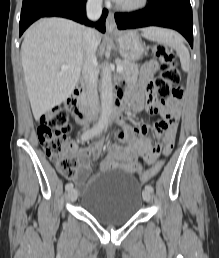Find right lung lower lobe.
<instances>
[{"label":"right lung lower lobe","instance_id":"1","mask_svg":"<svg viewBox=\"0 0 219 258\" xmlns=\"http://www.w3.org/2000/svg\"><path fill=\"white\" fill-rule=\"evenodd\" d=\"M87 0H23L20 17V36L34 21L41 17H64L79 23L95 26L105 32V20L108 14L103 10L97 23H92L86 18L85 3Z\"/></svg>","mask_w":219,"mask_h":258}]
</instances>
